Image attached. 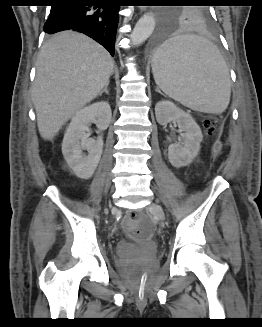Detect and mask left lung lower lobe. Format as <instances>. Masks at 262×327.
<instances>
[{
	"instance_id": "left-lung-lower-lobe-1",
	"label": "left lung lower lobe",
	"mask_w": 262,
	"mask_h": 327,
	"mask_svg": "<svg viewBox=\"0 0 262 327\" xmlns=\"http://www.w3.org/2000/svg\"><path fill=\"white\" fill-rule=\"evenodd\" d=\"M165 31L163 29H159L155 35L152 37L149 47L150 49L157 50L163 45V41L165 40Z\"/></svg>"
}]
</instances>
